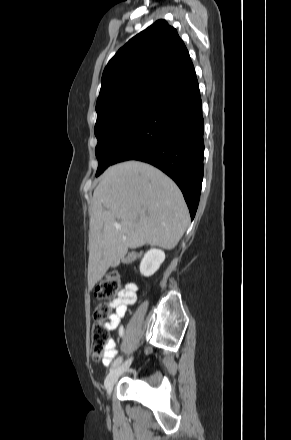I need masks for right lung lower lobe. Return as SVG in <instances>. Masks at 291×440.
Masks as SVG:
<instances>
[{"label": "right lung lower lobe", "instance_id": "right-lung-lower-lobe-1", "mask_svg": "<svg viewBox=\"0 0 291 440\" xmlns=\"http://www.w3.org/2000/svg\"><path fill=\"white\" fill-rule=\"evenodd\" d=\"M203 123L199 85L193 71L154 98L111 165L140 160L159 168L179 186L193 219L203 180Z\"/></svg>", "mask_w": 291, "mask_h": 440}]
</instances>
